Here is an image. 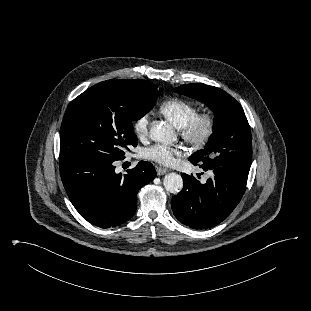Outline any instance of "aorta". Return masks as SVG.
<instances>
[{
  "label": "aorta",
  "instance_id": "1",
  "mask_svg": "<svg viewBox=\"0 0 311 311\" xmlns=\"http://www.w3.org/2000/svg\"><path fill=\"white\" fill-rule=\"evenodd\" d=\"M150 138L155 142L170 145L176 140V134L170 124L157 122L150 129ZM163 184L168 192L176 194L183 188V179L177 173H168L163 179Z\"/></svg>",
  "mask_w": 311,
  "mask_h": 311
}]
</instances>
